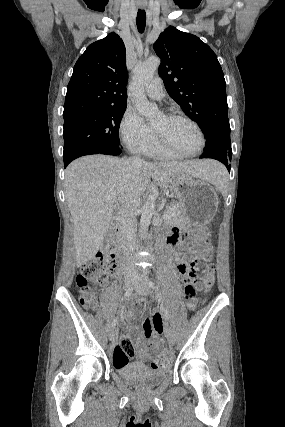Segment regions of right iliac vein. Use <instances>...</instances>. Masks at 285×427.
<instances>
[{"label":"right iliac vein","instance_id":"obj_1","mask_svg":"<svg viewBox=\"0 0 285 427\" xmlns=\"http://www.w3.org/2000/svg\"><path fill=\"white\" fill-rule=\"evenodd\" d=\"M125 285H126V287H127V288L132 287V281H131V280H127V281L125 282ZM116 337H117V329H116V328H112V329L109 331V339H110L111 341H114V340L116 339Z\"/></svg>","mask_w":285,"mask_h":427}]
</instances>
